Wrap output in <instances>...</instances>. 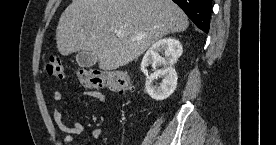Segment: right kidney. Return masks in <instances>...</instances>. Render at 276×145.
Returning <instances> with one entry per match:
<instances>
[{"label": "right kidney", "mask_w": 276, "mask_h": 145, "mask_svg": "<svg viewBox=\"0 0 276 145\" xmlns=\"http://www.w3.org/2000/svg\"><path fill=\"white\" fill-rule=\"evenodd\" d=\"M159 52L164 53L165 57H161ZM182 53L183 48L179 40L164 38L154 43L144 55L141 71L146 75V91L152 99L156 101L165 100L176 89L178 77L174 65ZM149 65L160 67V69L148 76L147 67ZM158 77L162 78V84L154 86L153 81Z\"/></svg>", "instance_id": "right-kidney-1"}]
</instances>
